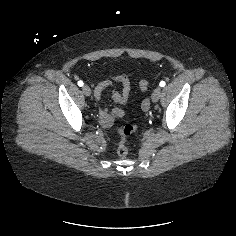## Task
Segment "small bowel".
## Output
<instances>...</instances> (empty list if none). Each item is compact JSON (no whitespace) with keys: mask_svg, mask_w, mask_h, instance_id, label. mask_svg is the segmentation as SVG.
Listing matches in <instances>:
<instances>
[{"mask_svg":"<svg viewBox=\"0 0 236 236\" xmlns=\"http://www.w3.org/2000/svg\"><path fill=\"white\" fill-rule=\"evenodd\" d=\"M113 79L120 83L121 91L117 90L111 80H104L100 82L95 88V97L100 99L104 90L110 88L112 91V97L115 102L119 104H124L128 101L131 93V82L129 78L124 74H114ZM100 121L105 126H110L114 118H123L125 112L120 108H114L112 110L107 108H102L100 110Z\"/></svg>","mask_w":236,"mask_h":236,"instance_id":"obj_1","label":"small bowel"}]
</instances>
